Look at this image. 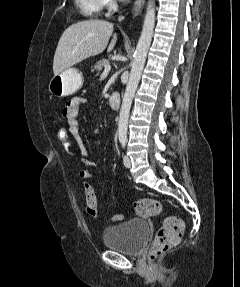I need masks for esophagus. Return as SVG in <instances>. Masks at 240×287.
<instances>
[{"mask_svg": "<svg viewBox=\"0 0 240 287\" xmlns=\"http://www.w3.org/2000/svg\"><path fill=\"white\" fill-rule=\"evenodd\" d=\"M143 3H144V0H136L134 7H133L134 16H138L141 13Z\"/></svg>", "mask_w": 240, "mask_h": 287, "instance_id": "1", "label": "esophagus"}]
</instances>
